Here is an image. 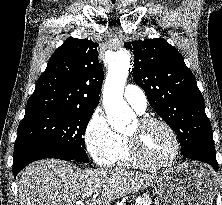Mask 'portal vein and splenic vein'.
I'll return each instance as SVG.
<instances>
[{
    "mask_svg": "<svg viewBox=\"0 0 222 205\" xmlns=\"http://www.w3.org/2000/svg\"><path fill=\"white\" fill-rule=\"evenodd\" d=\"M86 196H90L91 195V193H87V194H85ZM77 205H79V204H81V205H83V203L82 202H77L76 203Z\"/></svg>",
    "mask_w": 222,
    "mask_h": 205,
    "instance_id": "portal-vein-and-splenic-vein-1",
    "label": "portal vein and splenic vein"
}]
</instances>
